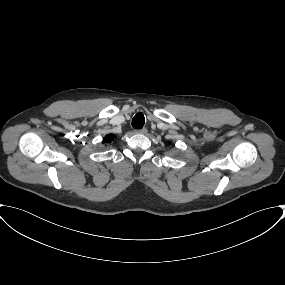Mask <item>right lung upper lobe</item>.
<instances>
[{
    "label": "right lung upper lobe",
    "instance_id": "1",
    "mask_svg": "<svg viewBox=\"0 0 285 285\" xmlns=\"http://www.w3.org/2000/svg\"><path fill=\"white\" fill-rule=\"evenodd\" d=\"M114 139V136L112 134H108L104 139L103 142L109 143Z\"/></svg>",
    "mask_w": 285,
    "mask_h": 285
}]
</instances>
